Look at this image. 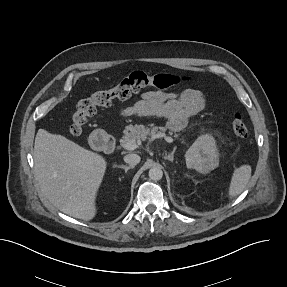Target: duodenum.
Masks as SVG:
<instances>
[{"mask_svg":"<svg viewBox=\"0 0 287 287\" xmlns=\"http://www.w3.org/2000/svg\"><path fill=\"white\" fill-rule=\"evenodd\" d=\"M90 141L94 147L107 152H113L117 145V142L113 136L102 131L94 132L91 135Z\"/></svg>","mask_w":287,"mask_h":287,"instance_id":"obj_1","label":"duodenum"}]
</instances>
